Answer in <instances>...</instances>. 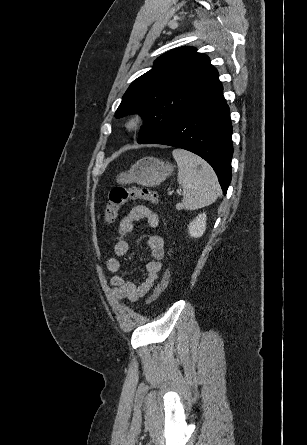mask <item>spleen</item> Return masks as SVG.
I'll return each mask as SVG.
<instances>
[{
    "label": "spleen",
    "instance_id": "obj_1",
    "mask_svg": "<svg viewBox=\"0 0 307 445\" xmlns=\"http://www.w3.org/2000/svg\"><path fill=\"white\" fill-rule=\"evenodd\" d=\"M172 154L178 166V182L183 188L182 208L196 210L215 202L220 184L212 166L183 148H175Z\"/></svg>",
    "mask_w": 307,
    "mask_h": 445
}]
</instances>
